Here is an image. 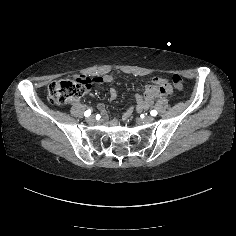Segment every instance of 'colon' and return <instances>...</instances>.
<instances>
[{"instance_id":"1","label":"colon","mask_w":236,"mask_h":236,"mask_svg":"<svg viewBox=\"0 0 236 236\" xmlns=\"http://www.w3.org/2000/svg\"><path fill=\"white\" fill-rule=\"evenodd\" d=\"M176 89L183 90L184 80L179 75L172 77ZM91 86V79L86 76L64 78L52 82L47 89V97L50 103L61 105L71 100L80 98Z\"/></svg>"}]
</instances>
